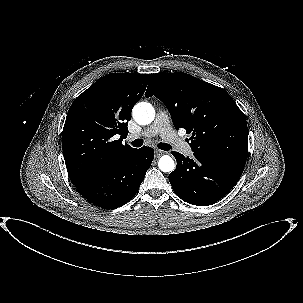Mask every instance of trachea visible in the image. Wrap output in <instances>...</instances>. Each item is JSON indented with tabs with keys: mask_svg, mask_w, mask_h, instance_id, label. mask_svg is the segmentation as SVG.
Listing matches in <instances>:
<instances>
[{
	"mask_svg": "<svg viewBox=\"0 0 303 303\" xmlns=\"http://www.w3.org/2000/svg\"><path fill=\"white\" fill-rule=\"evenodd\" d=\"M131 145L134 146V147H141L143 145V140L142 139H135L134 141H132ZM158 148L161 149V150L167 151L171 148V146L169 144H166V143H159Z\"/></svg>",
	"mask_w": 303,
	"mask_h": 303,
	"instance_id": "1",
	"label": "trachea"
}]
</instances>
